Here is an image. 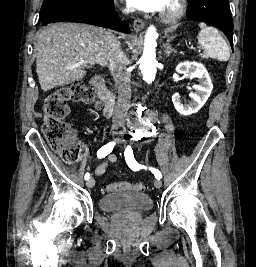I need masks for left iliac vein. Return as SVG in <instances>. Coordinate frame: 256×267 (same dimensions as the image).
Segmentation results:
<instances>
[{
	"mask_svg": "<svg viewBox=\"0 0 256 267\" xmlns=\"http://www.w3.org/2000/svg\"><path fill=\"white\" fill-rule=\"evenodd\" d=\"M154 185L157 189H160L162 187V181L160 179H156L154 181Z\"/></svg>",
	"mask_w": 256,
	"mask_h": 267,
	"instance_id": "4c4485c4",
	"label": "left iliac vein"
}]
</instances>
